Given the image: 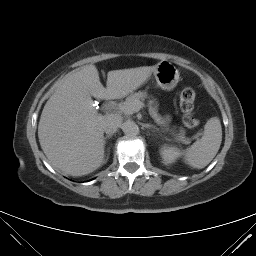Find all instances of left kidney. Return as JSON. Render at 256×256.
Segmentation results:
<instances>
[{
  "instance_id": "5707ae66",
  "label": "left kidney",
  "mask_w": 256,
  "mask_h": 256,
  "mask_svg": "<svg viewBox=\"0 0 256 256\" xmlns=\"http://www.w3.org/2000/svg\"><path fill=\"white\" fill-rule=\"evenodd\" d=\"M181 152L176 147H166L161 148L162 159L165 164L173 163L179 156Z\"/></svg>"
}]
</instances>
